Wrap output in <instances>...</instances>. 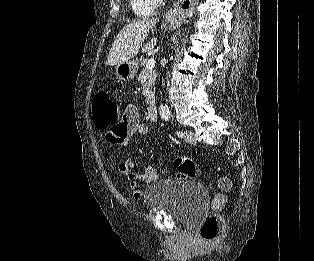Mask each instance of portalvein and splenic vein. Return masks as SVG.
<instances>
[{
  "label": "portal vein and splenic vein",
  "mask_w": 314,
  "mask_h": 261,
  "mask_svg": "<svg viewBox=\"0 0 314 261\" xmlns=\"http://www.w3.org/2000/svg\"><path fill=\"white\" fill-rule=\"evenodd\" d=\"M145 67L147 69H153L155 67V60L152 58V59H149L147 62H146V65Z\"/></svg>",
  "instance_id": "obj_1"
}]
</instances>
